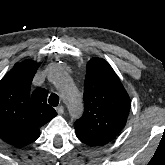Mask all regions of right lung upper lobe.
<instances>
[{"instance_id":"cb5924a9","label":"right lung upper lobe","mask_w":165,"mask_h":165,"mask_svg":"<svg viewBox=\"0 0 165 165\" xmlns=\"http://www.w3.org/2000/svg\"><path fill=\"white\" fill-rule=\"evenodd\" d=\"M38 67L37 62L25 60L0 81V138L15 147L34 142L39 128L57 115L46 102V89L30 91Z\"/></svg>"}]
</instances>
